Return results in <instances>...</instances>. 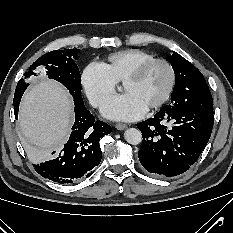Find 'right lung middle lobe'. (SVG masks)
I'll list each match as a JSON object with an SVG mask.
<instances>
[{
  "instance_id": "1",
  "label": "right lung middle lobe",
  "mask_w": 233,
  "mask_h": 233,
  "mask_svg": "<svg viewBox=\"0 0 233 233\" xmlns=\"http://www.w3.org/2000/svg\"><path fill=\"white\" fill-rule=\"evenodd\" d=\"M79 49H65L48 52L36 60L20 79L15 94L22 95L31 76L43 73L62 83L71 93L74 101L83 103L81 97V75L75 61L79 58Z\"/></svg>"
}]
</instances>
